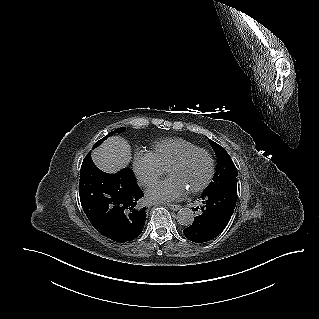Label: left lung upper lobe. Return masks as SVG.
<instances>
[{
	"label": "left lung upper lobe",
	"instance_id": "5c2ea615",
	"mask_svg": "<svg viewBox=\"0 0 319 319\" xmlns=\"http://www.w3.org/2000/svg\"><path fill=\"white\" fill-rule=\"evenodd\" d=\"M209 142L217 156V168L213 181L204 192H212L219 189L237 185V169L226 150L209 139Z\"/></svg>",
	"mask_w": 319,
	"mask_h": 319
}]
</instances>
